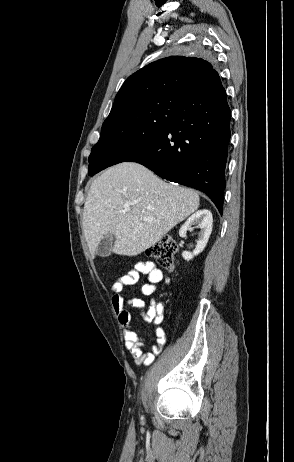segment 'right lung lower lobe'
<instances>
[{"instance_id": "right-lung-lower-lobe-1", "label": "right lung lower lobe", "mask_w": 294, "mask_h": 462, "mask_svg": "<svg viewBox=\"0 0 294 462\" xmlns=\"http://www.w3.org/2000/svg\"><path fill=\"white\" fill-rule=\"evenodd\" d=\"M179 113L125 161L207 194L222 214L231 111L219 79L185 97ZM101 168L89 157L88 174Z\"/></svg>"}]
</instances>
